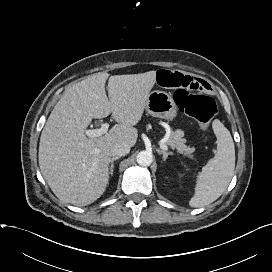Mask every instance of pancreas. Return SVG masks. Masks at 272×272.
<instances>
[{"instance_id":"cf45deb5","label":"pancreas","mask_w":272,"mask_h":272,"mask_svg":"<svg viewBox=\"0 0 272 272\" xmlns=\"http://www.w3.org/2000/svg\"><path fill=\"white\" fill-rule=\"evenodd\" d=\"M184 132L181 130L171 131L168 139L165 144L170 146L172 149H176L178 153L193 158V152L195 151L194 147L187 146L186 139L182 138Z\"/></svg>"}]
</instances>
